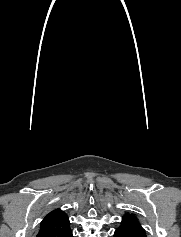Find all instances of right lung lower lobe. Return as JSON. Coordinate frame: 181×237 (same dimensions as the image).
I'll return each mask as SVG.
<instances>
[{"mask_svg": "<svg viewBox=\"0 0 181 237\" xmlns=\"http://www.w3.org/2000/svg\"><path fill=\"white\" fill-rule=\"evenodd\" d=\"M67 237H73L72 232H70V233L67 235Z\"/></svg>", "mask_w": 181, "mask_h": 237, "instance_id": "right-lung-lower-lobe-1", "label": "right lung lower lobe"}]
</instances>
